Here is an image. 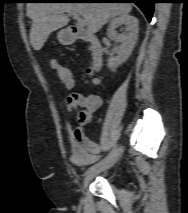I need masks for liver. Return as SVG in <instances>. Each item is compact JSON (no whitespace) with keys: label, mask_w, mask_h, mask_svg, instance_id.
I'll use <instances>...</instances> for the list:
<instances>
[{"label":"liver","mask_w":188,"mask_h":213,"mask_svg":"<svg viewBox=\"0 0 188 213\" xmlns=\"http://www.w3.org/2000/svg\"><path fill=\"white\" fill-rule=\"evenodd\" d=\"M130 3H28L27 16L32 20L30 42L34 50H40L49 35L69 22L64 13L80 15L89 33H97L109 18L127 14Z\"/></svg>","instance_id":"1"}]
</instances>
